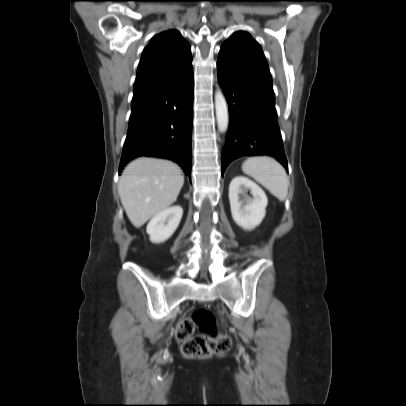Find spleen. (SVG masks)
Here are the masks:
<instances>
[{
    "label": "spleen",
    "mask_w": 406,
    "mask_h": 406,
    "mask_svg": "<svg viewBox=\"0 0 406 406\" xmlns=\"http://www.w3.org/2000/svg\"><path fill=\"white\" fill-rule=\"evenodd\" d=\"M242 171L252 176L280 201L285 200L289 179L280 163L270 157H250L242 164Z\"/></svg>",
    "instance_id": "1"
}]
</instances>
